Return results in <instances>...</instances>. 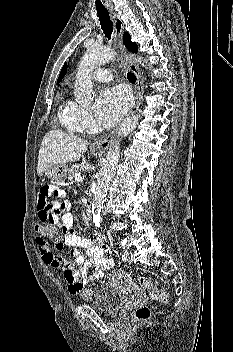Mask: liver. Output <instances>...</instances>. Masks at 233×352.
I'll return each mask as SVG.
<instances>
[{
    "instance_id": "6515ba94",
    "label": "liver",
    "mask_w": 233,
    "mask_h": 352,
    "mask_svg": "<svg viewBox=\"0 0 233 352\" xmlns=\"http://www.w3.org/2000/svg\"><path fill=\"white\" fill-rule=\"evenodd\" d=\"M89 142L79 137L57 130L44 136L38 155L37 173L41 177L45 171L58 164L73 163L84 156Z\"/></svg>"
}]
</instances>
